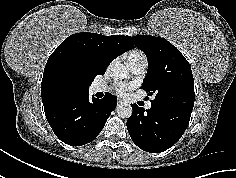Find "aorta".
<instances>
[{
    "instance_id": "aorta-1",
    "label": "aorta",
    "mask_w": 236,
    "mask_h": 178,
    "mask_svg": "<svg viewBox=\"0 0 236 178\" xmlns=\"http://www.w3.org/2000/svg\"><path fill=\"white\" fill-rule=\"evenodd\" d=\"M111 73L115 80H122L128 77L129 72L123 64H115L111 66ZM119 117L125 119L132 115V107L128 103H120L116 108Z\"/></svg>"
}]
</instances>
